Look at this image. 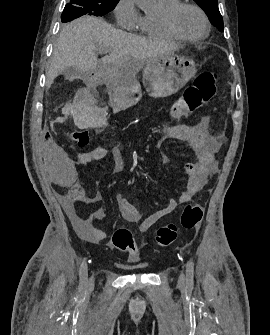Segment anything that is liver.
Here are the masks:
<instances>
[{"mask_svg": "<svg viewBox=\"0 0 270 335\" xmlns=\"http://www.w3.org/2000/svg\"><path fill=\"white\" fill-rule=\"evenodd\" d=\"M175 48L176 44H158L143 36L116 30L102 18L83 16L62 28L52 54L46 84L51 86L58 74L70 66L79 72H95L102 76L111 72L114 80L122 78L124 82H135V76L146 60L169 54ZM102 50L110 54L99 64L97 54ZM105 60L107 64H103Z\"/></svg>", "mask_w": 270, "mask_h": 335, "instance_id": "1", "label": "liver"}]
</instances>
